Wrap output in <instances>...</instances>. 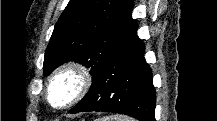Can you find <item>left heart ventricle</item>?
<instances>
[{"mask_svg": "<svg viewBox=\"0 0 217 121\" xmlns=\"http://www.w3.org/2000/svg\"><path fill=\"white\" fill-rule=\"evenodd\" d=\"M75 87L76 82L73 78L66 76L59 79L53 87L52 101L57 105L63 104L72 95Z\"/></svg>", "mask_w": 217, "mask_h": 121, "instance_id": "obj_1", "label": "left heart ventricle"}]
</instances>
